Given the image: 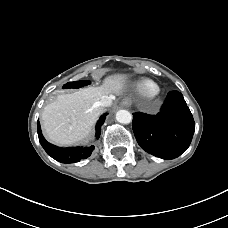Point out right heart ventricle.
Returning <instances> with one entry per match:
<instances>
[{"label": "right heart ventricle", "mask_w": 228, "mask_h": 228, "mask_svg": "<svg viewBox=\"0 0 228 228\" xmlns=\"http://www.w3.org/2000/svg\"><path fill=\"white\" fill-rule=\"evenodd\" d=\"M136 90L142 96L151 97L159 90V87L150 79H142L137 83Z\"/></svg>", "instance_id": "obj_1"}]
</instances>
